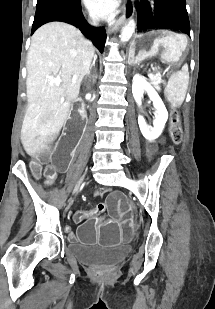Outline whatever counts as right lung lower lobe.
I'll return each mask as SVG.
<instances>
[{"mask_svg":"<svg viewBox=\"0 0 215 309\" xmlns=\"http://www.w3.org/2000/svg\"><path fill=\"white\" fill-rule=\"evenodd\" d=\"M51 21H62L78 27L88 38L92 39L94 45L103 52L106 40V32L103 28H95L88 25L79 10L75 13L69 12H55L36 17L32 26V34L43 24Z\"/></svg>","mask_w":215,"mask_h":309,"instance_id":"right-lung-lower-lobe-1","label":"right lung lower lobe"}]
</instances>
